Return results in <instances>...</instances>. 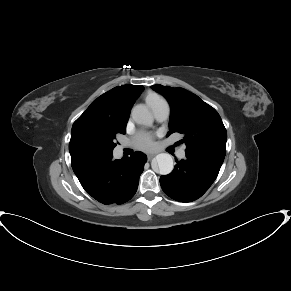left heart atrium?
Masks as SVG:
<instances>
[{
    "label": "left heart atrium",
    "mask_w": 291,
    "mask_h": 291,
    "mask_svg": "<svg viewBox=\"0 0 291 291\" xmlns=\"http://www.w3.org/2000/svg\"><path fill=\"white\" fill-rule=\"evenodd\" d=\"M134 142L138 148L143 150H148L154 145L152 136L145 131L137 133L134 137Z\"/></svg>",
    "instance_id": "left-heart-atrium-1"
}]
</instances>
